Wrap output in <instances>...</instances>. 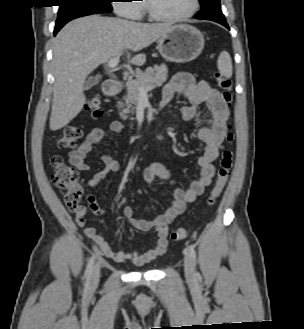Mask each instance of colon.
I'll use <instances>...</instances> for the list:
<instances>
[{
	"mask_svg": "<svg viewBox=\"0 0 304 329\" xmlns=\"http://www.w3.org/2000/svg\"><path fill=\"white\" fill-rule=\"evenodd\" d=\"M215 79L218 87L223 91V99L227 106L230 107L232 102V81L223 76L220 72L215 73ZM87 108L92 118H100L103 114L101 99L98 96L91 97L87 102ZM82 131L78 126L69 125L64 128L61 138L58 140V147L61 150H70L76 147L78 139L81 137ZM234 135L231 130L227 134L229 144L233 142ZM234 152L231 146L227 147L223 152L220 160L216 182L211 189L206 203L213 206L217 198L222 194L233 165ZM53 167L52 180L54 185L64 192V202L66 207L76 212L80 210L81 201L84 196V189L79 183V174L77 170L66 163L59 155L51 158ZM189 234L187 228H177L172 232L171 238L174 241L185 239Z\"/></svg>",
	"mask_w": 304,
	"mask_h": 329,
	"instance_id": "1",
	"label": "colon"
}]
</instances>
